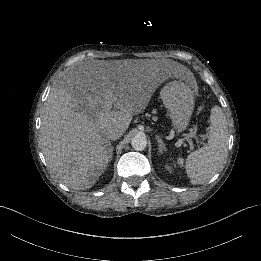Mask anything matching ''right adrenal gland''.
<instances>
[{"label": "right adrenal gland", "mask_w": 261, "mask_h": 261, "mask_svg": "<svg viewBox=\"0 0 261 261\" xmlns=\"http://www.w3.org/2000/svg\"><path fill=\"white\" fill-rule=\"evenodd\" d=\"M113 147H110V151H109V160L111 161L112 160V157H113Z\"/></svg>", "instance_id": "2a0ac1e0"}]
</instances>
